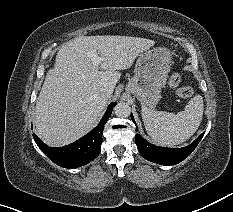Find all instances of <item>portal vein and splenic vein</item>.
<instances>
[{"label": "portal vein and splenic vein", "mask_w": 233, "mask_h": 212, "mask_svg": "<svg viewBox=\"0 0 233 212\" xmlns=\"http://www.w3.org/2000/svg\"><path fill=\"white\" fill-rule=\"evenodd\" d=\"M93 65L98 66L101 62L105 61L104 57H99L96 50H91L87 53Z\"/></svg>", "instance_id": "1"}]
</instances>
